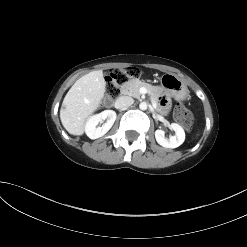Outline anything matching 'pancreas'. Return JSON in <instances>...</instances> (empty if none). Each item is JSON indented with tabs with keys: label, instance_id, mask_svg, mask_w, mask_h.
Masks as SVG:
<instances>
[{
	"label": "pancreas",
	"instance_id": "obj_1",
	"mask_svg": "<svg viewBox=\"0 0 247 247\" xmlns=\"http://www.w3.org/2000/svg\"><path fill=\"white\" fill-rule=\"evenodd\" d=\"M146 87L149 92H154L155 88L144 81H140L139 79H132L129 80L121 85L120 92L124 95H129L134 98H140V88Z\"/></svg>",
	"mask_w": 247,
	"mask_h": 247
}]
</instances>
